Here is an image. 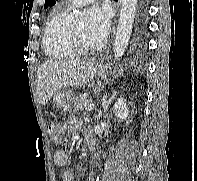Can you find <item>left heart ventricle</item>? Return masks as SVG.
Masks as SVG:
<instances>
[{"label":"left heart ventricle","mask_w":197,"mask_h":181,"mask_svg":"<svg viewBox=\"0 0 197 181\" xmlns=\"http://www.w3.org/2000/svg\"><path fill=\"white\" fill-rule=\"evenodd\" d=\"M80 39L88 46H95L98 44L94 39H92L87 32V24L85 22L77 24L74 26Z\"/></svg>","instance_id":"1"}]
</instances>
